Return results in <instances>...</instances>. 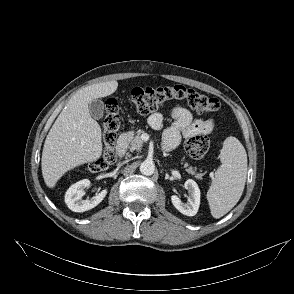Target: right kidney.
Here are the masks:
<instances>
[{"instance_id":"obj_1","label":"right kidney","mask_w":294,"mask_h":294,"mask_svg":"<svg viewBox=\"0 0 294 294\" xmlns=\"http://www.w3.org/2000/svg\"><path fill=\"white\" fill-rule=\"evenodd\" d=\"M91 184L90 180L83 179L73 184L65 194V203L74 212H85L96 207L106 196L107 189L102 190L96 196L85 200L84 189Z\"/></svg>"}]
</instances>
